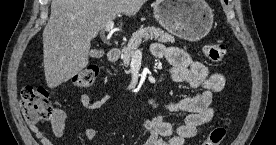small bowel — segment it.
<instances>
[{
    "label": "small bowel",
    "instance_id": "c3829d8e",
    "mask_svg": "<svg viewBox=\"0 0 276 145\" xmlns=\"http://www.w3.org/2000/svg\"><path fill=\"white\" fill-rule=\"evenodd\" d=\"M155 57L165 58L171 65L170 78L175 83L188 84L192 89L201 90L193 96H185L176 101L167 103L164 108L169 112L185 113V120L178 126H173L163 116L158 115L144 121L149 137L144 145H184L194 137L202 126L211 121L213 117V94L221 91L225 85L224 76L220 73L209 72L207 67L199 61L193 60L184 50L175 47H166L161 43L152 46ZM110 101V96H102L92 100L87 94L80 96L82 106L87 110L98 109ZM150 104L157 108L155 101ZM66 115L57 110L51 120V130L56 138H62L66 128ZM30 130L41 145H52L48 136L37 126L32 125ZM88 140L98 136V130L88 128L83 131Z\"/></svg>",
    "mask_w": 276,
    "mask_h": 145
}]
</instances>
